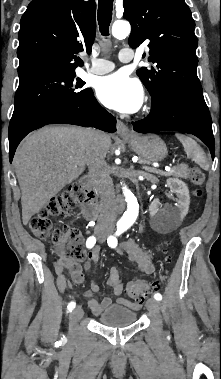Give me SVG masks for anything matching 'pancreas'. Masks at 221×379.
I'll return each mask as SVG.
<instances>
[{"label": "pancreas", "instance_id": "pancreas-1", "mask_svg": "<svg viewBox=\"0 0 221 379\" xmlns=\"http://www.w3.org/2000/svg\"><path fill=\"white\" fill-rule=\"evenodd\" d=\"M140 163H145L144 160L139 161ZM161 175L164 176H175L180 178H187L188 177V166L186 164H179L173 168L171 172L167 173H161Z\"/></svg>", "mask_w": 221, "mask_h": 379}]
</instances>
